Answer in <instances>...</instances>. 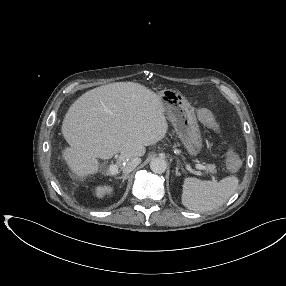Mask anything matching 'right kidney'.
Here are the masks:
<instances>
[{"instance_id":"obj_1","label":"right kidney","mask_w":286,"mask_h":286,"mask_svg":"<svg viewBox=\"0 0 286 286\" xmlns=\"http://www.w3.org/2000/svg\"><path fill=\"white\" fill-rule=\"evenodd\" d=\"M112 187L110 186H98L96 188V194L97 196L101 197L103 196L105 193H110L112 191Z\"/></svg>"}]
</instances>
